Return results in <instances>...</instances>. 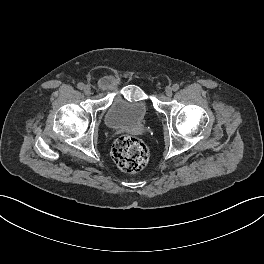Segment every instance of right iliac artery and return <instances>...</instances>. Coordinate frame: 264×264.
I'll return each instance as SVG.
<instances>
[{
  "instance_id": "obj_1",
  "label": "right iliac artery",
  "mask_w": 264,
  "mask_h": 264,
  "mask_svg": "<svg viewBox=\"0 0 264 264\" xmlns=\"http://www.w3.org/2000/svg\"><path fill=\"white\" fill-rule=\"evenodd\" d=\"M77 87H78V89L82 90V89H84V84L83 83H78Z\"/></svg>"
}]
</instances>
